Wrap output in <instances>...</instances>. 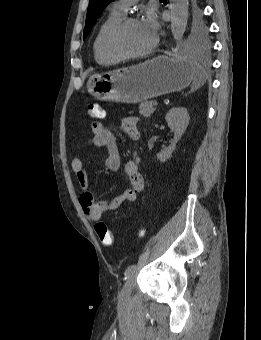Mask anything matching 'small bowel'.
I'll return each mask as SVG.
<instances>
[{"mask_svg":"<svg viewBox=\"0 0 261 340\" xmlns=\"http://www.w3.org/2000/svg\"><path fill=\"white\" fill-rule=\"evenodd\" d=\"M137 118L133 116L123 117L121 126L130 136L131 139L137 140L140 136ZM93 137L90 142L106 151L104 162L106 167L111 171L119 170L121 166L120 155L116 145V135L108 129L102 122L92 124ZM140 159L137 153L128 159L124 165L125 173L129 178L130 187L116 196L112 201L95 200L94 194L88 189L89 176L82 160L75 157L72 160L71 167L77 178L80 187L79 202L85 215L92 221H97L101 216L110 211H116L124 204H131L136 200L137 194L144 188V179L140 173ZM126 213L120 214L124 216Z\"/></svg>","mask_w":261,"mask_h":340,"instance_id":"c3829d8e","label":"small bowel"}]
</instances>
